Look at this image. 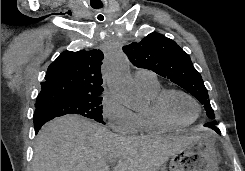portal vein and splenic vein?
Listing matches in <instances>:
<instances>
[{"mask_svg": "<svg viewBox=\"0 0 245 171\" xmlns=\"http://www.w3.org/2000/svg\"><path fill=\"white\" fill-rule=\"evenodd\" d=\"M108 162L113 165V164H115L116 161L115 160H109Z\"/></svg>", "mask_w": 245, "mask_h": 171, "instance_id": "18ae733b", "label": "portal vein and splenic vein"}]
</instances>
